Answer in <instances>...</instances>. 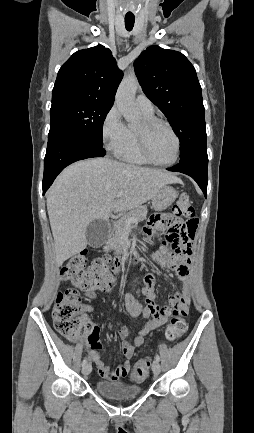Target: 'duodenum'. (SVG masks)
Returning <instances> with one entry per match:
<instances>
[{
	"label": "duodenum",
	"instance_id": "duodenum-1",
	"mask_svg": "<svg viewBox=\"0 0 254 433\" xmlns=\"http://www.w3.org/2000/svg\"><path fill=\"white\" fill-rule=\"evenodd\" d=\"M110 225V223H109ZM125 262L122 259H117V261L114 263L115 269H121L124 267Z\"/></svg>",
	"mask_w": 254,
	"mask_h": 433
}]
</instances>
